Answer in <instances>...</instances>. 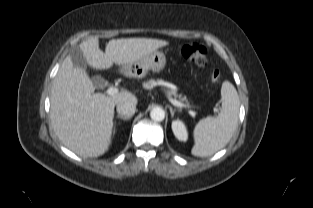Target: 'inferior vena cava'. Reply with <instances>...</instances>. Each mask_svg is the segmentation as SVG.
Wrapping results in <instances>:
<instances>
[{
	"instance_id": "1",
	"label": "inferior vena cava",
	"mask_w": 313,
	"mask_h": 208,
	"mask_svg": "<svg viewBox=\"0 0 313 208\" xmlns=\"http://www.w3.org/2000/svg\"><path fill=\"white\" fill-rule=\"evenodd\" d=\"M116 109L121 116H132L136 111V104L130 101L120 102Z\"/></svg>"
}]
</instances>
